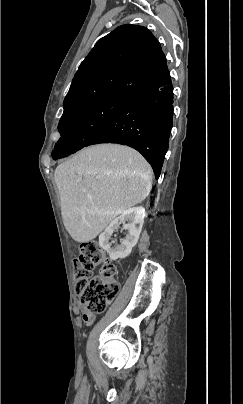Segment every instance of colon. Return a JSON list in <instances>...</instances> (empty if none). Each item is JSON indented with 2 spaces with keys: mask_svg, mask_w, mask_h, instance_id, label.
Masks as SVG:
<instances>
[{
  "mask_svg": "<svg viewBox=\"0 0 243 404\" xmlns=\"http://www.w3.org/2000/svg\"><path fill=\"white\" fill-rule=\"evenodd\" d=\"M98 272L90 276L94 269ZM117 270L100 245L84 242L76 266V291L89 313L103 312L119 291Z\"/></svg>",
  "mask_w": 243,
  "mask_h": 404,
  "instance_id": "1",
  "label": "colon"
}]
</instances>
